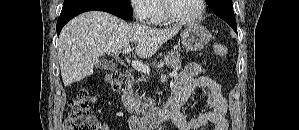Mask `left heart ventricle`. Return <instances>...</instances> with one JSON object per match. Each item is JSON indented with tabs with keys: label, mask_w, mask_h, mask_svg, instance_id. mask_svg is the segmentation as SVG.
<instances>
[{
	"label": "left heart ventricle",
	"mask_w": 299,
	"mask_h": 130,
	"mask_svg": "<svg viewBox=\"0 0 299 130\" xmlns=\"http://www.w3.org/2000/svg\"><path fill=\"white\" fill-rule=\"evenodd\" d=\"M169 11L175 17L188 18L196 15L199 11L197 0H171Z\"/></svg>",
	"instance_id": "1"
}]
</instances>
